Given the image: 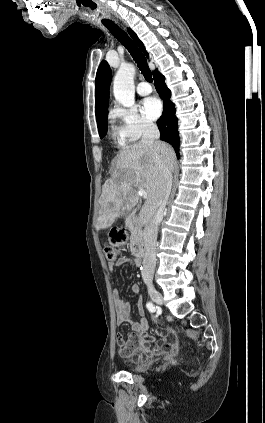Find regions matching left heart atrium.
Segmentation results:
<instances>
[{"label": "left heart atrium", "mask_w": 265, "mask_h": 423, "mask_svg": "<svg viewBox=\"0 0 265 423\" xmlns=\"http://www.w3.org/2000/svg\"><path fill=\"white\" fill-rule=\"evenodd\" d=\"M142 112L149 119H157L162 112V104L156 97H148L142 102Z\"/></svg>", "instance_id": "1"}]
</instances>
